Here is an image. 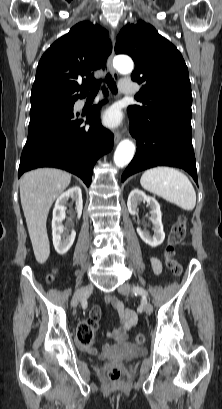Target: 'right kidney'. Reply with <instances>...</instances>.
<instances>
[{"instance_id":"right-kidney-1","label":"right kidney","mask_w":222,"mask_h":409,"mask_svg":"<svg viewBox=\"0 0 222 409\" xmlns=\"http://www.w3.org/2000/svg\"><path fill=\"white\" fill-rule=\"evenodd\" d=\"M71 198L76 203V213L79 219L82 214L83 201H82V191L79 186H74L63 192L56 200L55 207L53 209V219H52V236L53 244L56 252L60 255H64L71 248L76 232L72 230L71 233L66 232V228L63 225V220L65 219L66 204ZM72 221L70 220L66 226H71Z\"/></svg>"}]
</instances>
